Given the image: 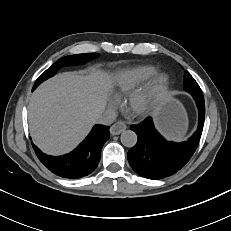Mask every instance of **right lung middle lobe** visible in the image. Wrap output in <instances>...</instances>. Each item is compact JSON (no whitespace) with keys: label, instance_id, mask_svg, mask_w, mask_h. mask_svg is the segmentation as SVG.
Listing matches in <instances>:
<instances>
[{"label":"right lung middle lobe","instance_id":"obj_1","mask_svg":"<svg viewBox=\"0 0 231 231\" xmlns=\"http://www.w3.org/2000/svg\"><path fill=\"white\" fill-rule=\"evenodd\" d=\"M99 56L97 53H86V54H76L71 56H66L61 59H59L57 62H55L50 68H48L43 74L39 76V78L36 80L33 90L44 80L52 77L58 69L64 67V66H70V65H77V64H83L86 63L92 59H95Z\"/></svg>","mask_w":231,"mask_h":231}]
</instances>
